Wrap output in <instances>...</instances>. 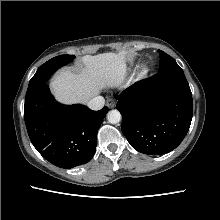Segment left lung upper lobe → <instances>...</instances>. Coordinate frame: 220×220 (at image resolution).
Here are the masks:
<instances>
[{
    "instance_id": "left-lung-upper-lobe-1",
    "label": "left lung upper lobe",
    "mask_w": 220,
    "mask_h": 220,
    "mask_svg": "<svg viewBox=\"0 0 220 220\" xmlns=\"http://www.w3.org/2000/svg\"><path fill=\"white\" fill-rule=\"evenodd\" d=\"M159 55H160V65H159L160 73L183 71L171 56H169L168 54H166L161 50H159Z\"/></svg>"
}]
</instances>
